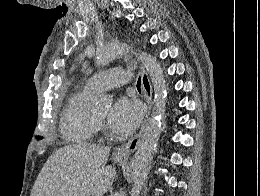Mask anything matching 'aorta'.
<instances>
[{
	"instance_id": "762f6f07",
	"label": "aorta",
	"mask_w": 260,
	"mask_h": 196,
	"mask_svg": "<svg viewBox=\"0 0 260 196\" xmlns=\"http://www.w3.org/2000/svg\"><path fill=\"white\" fill-rule=\"evenodd\" d=\"M128 50L129 47L123 43L106 45L97 50L96 63L99 66H105L116 57L127 53ZM139 58L150 76L155 96L151 117L145 126L138 149L131 160V181L133 187L130 196H139L150 171L153 154L161 133L167 97V86L160 64L146 52L139 53ZM101 102L107 105L110 103V99L104 97L101 99Z\"/></svg>"
}]
</instances>
